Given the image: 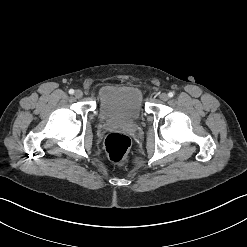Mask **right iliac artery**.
Masks as SVG:
<instances>
[{"mask_svg":"<svg viewBox=\"0 0 247 247\" xmlns=\"http://www.w3.org/2000/svg\"><path fill=\"white\" fill-rule=\"evenodd\" d=\"M69 94H74V90L73 89H70L69 90Z\"/></svg>","mask_w":247,"mask_h":247,"instance_id":"obj_1","label":"right iliac artery"}]
</instances>
